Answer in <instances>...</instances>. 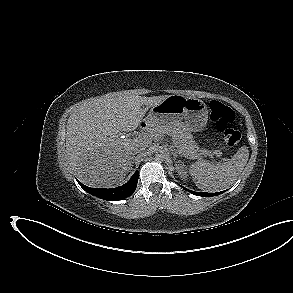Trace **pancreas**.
I'll list each match as a JSON object with an SVG mask.
<instances>
[{"label": "pancreas", "mask_w": 293, "mask_h": 293, "mask_svg": "<svg viewBox=\"0 0 293 293\" xmlns=\"http://www.w3.org/2000/svg\"><path fill=\"white\" fill-rule=\"evenodd\" d=\"M164 134L172 136L180 153L191 159L201 158V155H204L205 152H210V150L198 147L197 143L193 140L190 129L183 122L176 121L157 125L149 132L151 138H158Z\"/></svg>", "instance_id": "1"}]
</instances>
